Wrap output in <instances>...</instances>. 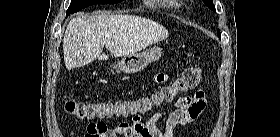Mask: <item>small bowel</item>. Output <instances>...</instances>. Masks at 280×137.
I'll return each instance as SVG.
<instances>
[{"label": "small bowel", "mask_w": 280, "mask_h": 137, "mask_svg": "<svg viewBox=\"0 0 280 137\" xmlns=\"http://www.w3.org/2000/svg\"><path fill=\"white\" fill-rule=\"evenodd\" d=\"M166 80L164 74L156 76L157 82ZM206 107V93L200 88L193 95L179 97L173 104V109L164 118L162 127L158 121L163 117L161 113L153 114L144 121L140 116L132 118L131 123H120L115 128H108L103 123H90L86 127L84 137H121L130 132L138 137H172L176 127L193 123L199 119Z\"/></svg>", "instance_id": "small-bowel-1"}]
</instances>
